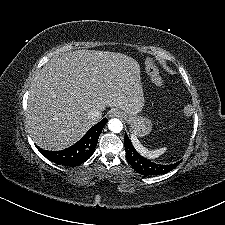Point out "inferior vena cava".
Wrapping results in <instances>:
<instances>
[{
  "instance_id": "1",
  "label": "inferior vena cava",
  "mask_w": 225,
  "mask_h": 225,
  "mask_svg": "<svg viewBox=\"0 0 225 225\" xmlns=\"http://www.w3.org/2000/svg\"><path fill=\"white\" fill-rule=\"evenodd\" d=\"M103 108L100 106H92L89 110V115L93 117H101Z\"/></svg>"
}]
</instances>
